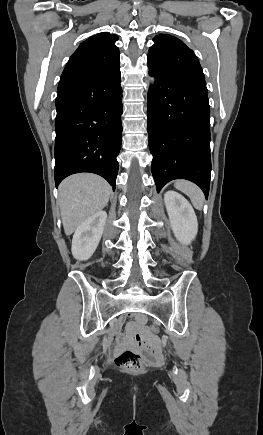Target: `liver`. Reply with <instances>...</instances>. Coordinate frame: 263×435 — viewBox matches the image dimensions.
Masks as SVG:
<instances>
[{
	"instance_id": "liver-1",
	"label": "liver",
	"mask_w": 263,
	"mask_h": 435,
	"mask_svg": "<svg viewBox=\"0 0 263 435\" xmlns=\"http://www.w3.org/2000/svg\"><path fill=\"white\" fill-rule=\"evenodd\" d=\"M111 187L95 174H75L59 186V205L66 235H71L87 218L108 203Z\"/></svg>"
}]
</instances>
